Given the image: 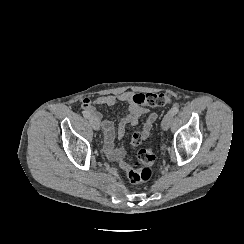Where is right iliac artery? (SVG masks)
<instances>
[{
  "label": "right iliac artery",
  "instance_id": "obj_1",
  "mask_svg": "<svg viewBox=\"0 0 244 244\" xmlns=\"http://www.w3.org/2000/svg\"><path fill=\"white\" fill-rule=\"evenodd\" d=\"M83 116L87 119L90 118V114L87 111H83Z\"/></svg>",
  "mask_w": 244,
  "mask_h": 244
}]
</instances>
